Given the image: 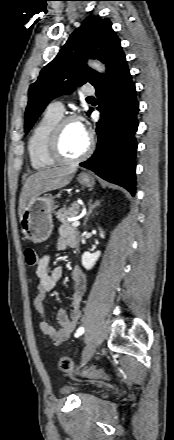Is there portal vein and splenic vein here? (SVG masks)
Returning a JSON list of instances; mask_svg holds the SVG:
<instances>
[{"mask_svg": "<svg viewBox=\"0 0 174 440\" xmlns=\"http://www.w3.org/2000/svg\"><path fill=\"white\" fill-rule=\"evenodd\" d=\"M71 225H72L73 227H78V226L80 225V221L75 220V221L72 222Z\"/></svg>", "mask_w": 174, "mask_h": 440, "instance_id": "obj_1", "label": "portal vein and splenic vein"}]
</instances>
